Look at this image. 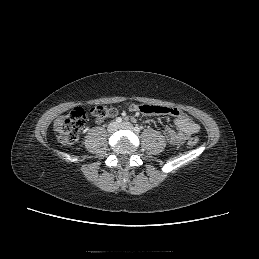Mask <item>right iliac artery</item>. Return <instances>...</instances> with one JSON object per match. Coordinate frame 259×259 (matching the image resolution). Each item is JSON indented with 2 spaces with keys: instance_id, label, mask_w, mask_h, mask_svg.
Instances as JSON below:
<instances>
[{
  "instance_id": "obj_1",
  "label": "right iliac artery",
  "mask_w": 259,
  "mask_h": 259,
  "mask_svg": "<svg viewBox=\"0 0 259 259\" xmlns=\"http://www.w3.org/2000/svg\"><path fill=\"white\" fill-rule=\"evenodd\" d=\"M122 122V118L118 117L116 118V123H121Z\"/></svg>"
}]
</instances>
